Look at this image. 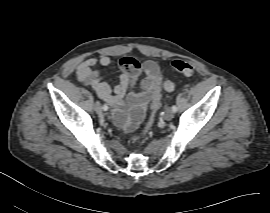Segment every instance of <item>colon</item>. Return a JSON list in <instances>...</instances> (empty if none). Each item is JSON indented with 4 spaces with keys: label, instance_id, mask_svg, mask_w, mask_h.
Segmentation results:
<instances>
[{
    "label": "colon",
    "instance_id": "colon-1",
    "mask_svg": "<svg viewBox=\"0 0 270 213\" xmlns=\"http://www.w3.org/2000/svg\"><path fill=\"white\" fill-rule=\"evenodd\" d=\"M172 66L173 68L186 75V76H192L194 75V67L191 63L187 62V61H184V60H174L172 62ZM163 88L164 90L166 91H172L175 87V84L172 80H165L163 82ZM160 108V105L159 103H156L154 106H153V109H152V115H151V119L155 116V114L158 112ZM144 136H145V131H140L138 134H135L133 137H132V142L134 144H140L142 143L143 139H144Z\"/></svg>",
    "mask_w": 270,
    "mask_h": 213
}]
</instances>
